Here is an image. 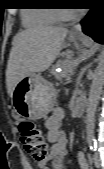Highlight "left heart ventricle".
Masks as SVG:
<instances>
[{"label": "left heart ventricle", "instance_id": "left-heart-ventricle-1", "mask_svg": "<svg viewBox=\"0 0 104 169\" xmlns=\"http://www.w3.org/2000/svg\"><path fill=\"white\" fill-rule=\"evenodd\" d=\"M65 12H67V13H72L73 11L72 10H65Z\"/></svg>", "mask_w": 104, "mask_h": 169}]
</instances>
